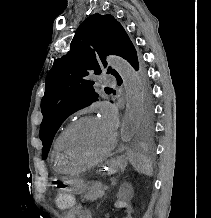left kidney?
<instances>
[{"label": "left kidney", "mask_w": 211, "mask_h": 218, "mask_svg": "<svg viewBox=\"0 0 211 218\" xmlns=\"http://www.w3.org/2000/svg\"><path fill=\"white\" fill-rule=\"evenodd\" d=\"M134 202H130V198H121V202H116L114 210H122V215H135L133 210Z\"/></svg>", "instance_id": "obj_1"}]
</instances>
